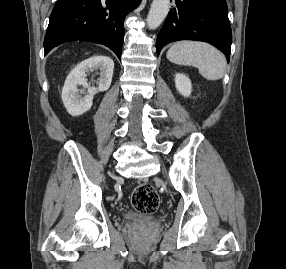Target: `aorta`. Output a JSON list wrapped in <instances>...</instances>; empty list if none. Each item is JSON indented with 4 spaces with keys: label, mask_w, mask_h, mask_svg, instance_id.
<instances>
[{
    "label": "aorta",
    "mask_w": 286,
    "mask_h": 269,
    "mask_svg": "<svg viewBox=\"0 0 286 269\" xmlns=\"http://www.w3.org/2000/svg\"><path fill=\"white\" fill-rule=\"evenodd\" d=\"M170 8V0H153L147 16L149 29L158 28L166 18Z\"/></svg>",
    "instance_id": "762f6f07"
}]
</instances>
